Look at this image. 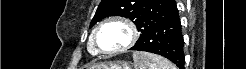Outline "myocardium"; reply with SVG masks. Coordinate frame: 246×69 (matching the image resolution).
Returning a JSON list of instances; mask_svg holds the SVG:
<instances>
[{"mask_svg":"<svg viewBox=\"0 0 246 69\" xmlns=\"http://www.w3.org/2000/svg\"><path fill=\"white\" fill-rule=\"evenodd\" d=\"M111 22H117V23L124 25L128 29L129 38L120 47H118L114 50L106 51V50H103L101 48V46L99 45L98 33L105 25H107L108 23H111ZM137 38H138V33H137V29H136V26L133 23V21H131L130 19H128L126 17H122V16H112V17L105 19L94 29V32H93V41H94L95 45L98 47L99 53H101V54H115V53L125 51L134 45Z\"/></svg>","mask_w":246,"mask_h":69,"instance_id":"obj_1","label":"myocardium"}]
</instances>
